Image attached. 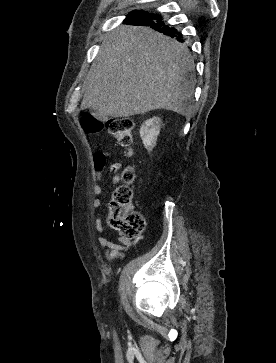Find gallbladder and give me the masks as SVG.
Wrapping results in <instances>:
<instances>
[{"instance_id": "obj_1", "label": "gallbladder", "mask_w": 276, "mask_h": 363, "mask_svg": "<svg viewBox=\"0 0 276 363\" xmlns=\"http://www.w3.org/2000/svg\"><path fill=\"white\" fill-rule=\"evenodd\" d=\"M105 119H106V117H101V118H100V120H105Z\"/></svg>"}]
</instances>
